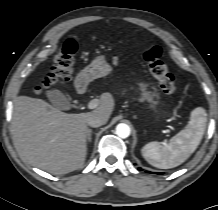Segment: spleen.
<instances>
[{
  "instance_id": "spleen-1",
  "label": "spleen",
  "mask_w": 218,
  "mask_h": 210,
  "mask_svg": "<svg viewBox=\"0 0 218 210\" xmlns=\"http://www.w3.org/2000/svg\"><path fill=\"white\" fill-rule=\"evenodd\" d=\"M207 114L201 107L195 108L189 123L161 146L159 142H150L142 149L144 159L160 169L174 168L185 162L200 144L206 129Z\"/></svg>"
}]
</instances>
